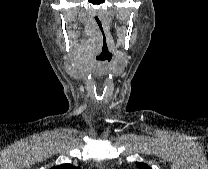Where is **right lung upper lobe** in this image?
<instances>
[{
	"mask_svg": "<svg viewBox=\"0 0 208 169\" xmlns=\"http://www.w3.org/2000/svg\"><path fill=\"white\" fill-rule=\"evenodd\" d=\"M50 169H80V167H75L69 163H66V164H61V165H58V166H54Z\"/></svg>",
	"mask_w": 208,
	"mask_h": 169,
	"instance_id": "right-lung-upper-lobe-1",
	"label": "right lung upper lobe"
}]
</instances>
